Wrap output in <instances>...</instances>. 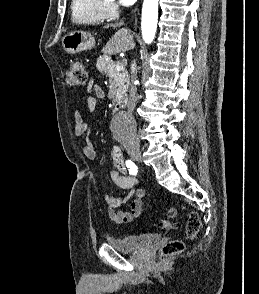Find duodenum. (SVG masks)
<instances>
[{"instance_id":"410a0bca","label":"duodenum","mask_w":259,"mask_h":294,"mask_svg":"<svg viewBox=\"0 0 259 294\" xmlns=\"http://www.w3.org/2000/svg\"><path fill=\"white\" fill-rule=\"evenodd\" d=\"M124 108V104H123V102H119V103H117V105H116V107H115V111H114V113H117L118 111H120L121 109H123Z\"/></svg>"}]
</instances>
